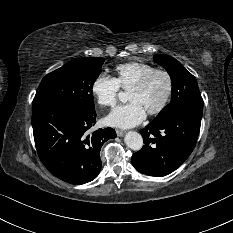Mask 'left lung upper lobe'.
<instances>
[{
	"label": "left lung upper lobe",
	"mask_w": 233,
	"mask_h": 233,
	"mask_svg": "<svg viewBox=\"0 0 233 233\" xmlns=\"http://www.w3.org/2000/svg\"><path fill=\"white\" fill-rule=\"evenodd\" d=\"M154 61L163 66L169 73L172 81V100L164 107L152 121L162 122L194 102H203L195 77L175 58L157 55Z\"/></svg>",
	"instance_id": "left-lung-upper-lobe-1"
}]
</instances>
